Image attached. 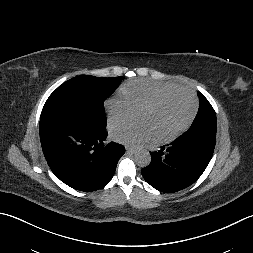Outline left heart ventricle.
Masks as SVG:
<instances>
[{
	"instance_id": "1",
	"label": "left heart ventricle",
	"mask_w": 253,
	"mask_h": 253,
	"mask_svg": "<svg viewBox=\"0 0 253 253\" xmlns=\"http://www.w3.org/2000/svg\"><path fill=\"white\" fill-rule=\"evenodd\" d=\"M192 108V100L186 93H174L164 97L154 108L140 110L138 120L148 124L154 136H165L187 121Z\"/></svg>"
}]
</instances>
